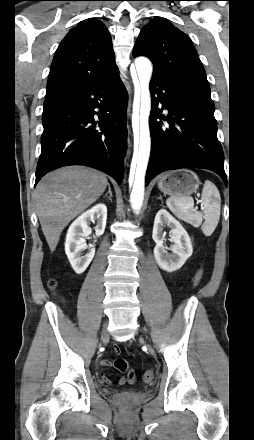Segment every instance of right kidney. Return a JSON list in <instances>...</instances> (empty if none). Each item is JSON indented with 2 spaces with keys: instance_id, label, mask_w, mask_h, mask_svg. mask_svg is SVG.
I'll use <instances>...</instances> for the list:
<instances>
[{
  "instance_id": "obj_1",
  "label": "right kidney",
  "mask_w": 254,
  "mask_h": 440,
  "mask_svg": "<svg viewBox=\"0 0 254 440\" xmlns=\"http://www.w3.org/2000/svg\"><path fill=\"white\" fill-rule=\"evenodd\" d=\"M97 221L95 234L97 237L104 233L107 220V207L105 204H97L86 212L82 213L69 227L65 252L69 262L77 274L83 273L95 255V248L90 246L89 252L82 256V251L86 250L87 244L84 237L91 234L90 222Z\"/></svg>"
}]
</instances>
